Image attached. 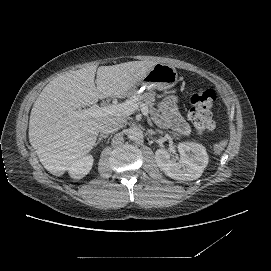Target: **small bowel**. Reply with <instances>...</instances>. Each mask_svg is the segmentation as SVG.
<instances>
[{
    "instance_id": "small-bowel-1",
    "label": "small bowel",
    "mask_w": 271,
    "mask_h": 271,
    "mask_svg": "<svg viewBox=\"0 0 271 271\" xmlns=\"http://www.w3.org/2000/svg\"><path fill=\"white\" fill-rule=\"evenodd\" d=\"M160 106L170 125L179 133L187 135L189 128L177 111L176 99L167 97Z\"/></svg>"
}]
</instances>
